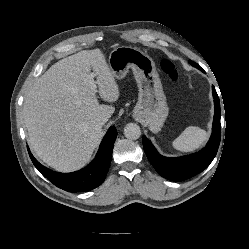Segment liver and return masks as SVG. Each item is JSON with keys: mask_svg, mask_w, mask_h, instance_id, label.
Here are the masks:
<instances>
[{"mask_svg": "<svg viewBox=\"0 0 249 249\" xmlns=\"http://www.w3.org/2000/svg\"><path fill=\"white\" fill-rule=\"evenodd\" d=\"M91 83L104 101L118 100V85L100 49L56 62L26 94L23 119L30 146L59 172H72L88 163L102 136L97 119L110 118L115 111L99 104Z\"/></svg>", "mask_w": 249, "mask_h": 249, "instance_id": "obj_1", "label": "liver"}]
</instances>
